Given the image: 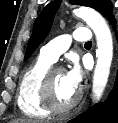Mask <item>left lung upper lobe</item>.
<instances>
[{
	"label": "left lung upper lobe",
	"instance_id": "left-lung-upper-lobe-1",
	"mask_svg": "<svg viewBox=\"0 0 118 123\" xmlns=\"http://www.w3.org/2000/svg\"><path fill=\"white\" fill-rule=\"evenodd\" d=\"M72 3L92 7L100 12L104 17H107L108 20L113 17L112 4L110 0H72ZM59 6V0L50 2L44 7L38 18L35 20L32 35L26 49L24 57L25 60L31 56L34 50L48 35Z\"/></svg>",
	"mask_w": 118,
	"mask_h": 123
}]
</instances>
